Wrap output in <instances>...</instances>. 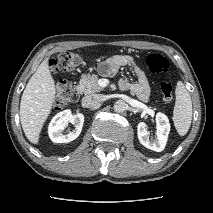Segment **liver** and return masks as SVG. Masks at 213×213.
Masks as SVG:
<instances>
[{
	"mask_svg": "<svg viewBox=\"0 0 213 213\" xmlns=\"http://www.w3.org/2000/svg\"><path fill=\"white\" fill-rule=\"evenodd\" d=\"M55 82L49 70L48 58L29 79L20 102V120L27 139L38 144L44 122L55 100Z\"/></svg>",
	"mask_w": 213,
	"mask_h": 213,
	"instance_id": "obj_1",
	"label": "liver"
}]
</instances>
